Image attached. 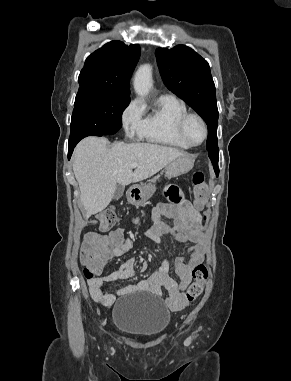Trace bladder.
<instances>
[{"label": "bladder", "mask_w": 291, "mask_h": 381, "mask_svg": "<svg viewBox=\"0 0 291 381\" xmlns=\"http://www.w3.org/2000/svg\"><path fill=\"white\" fill-rule=\"evenodd\" d=\"M171 320V312L161 300L149 293L124 295L113 307L114 326L135 337L162 334Z\"/></svg>", "instance_id": "obj_1"}]
</instances>
